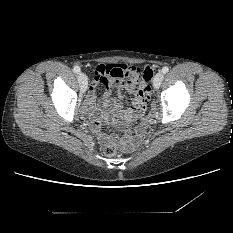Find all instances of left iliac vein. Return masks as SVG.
I'll list each match as a JSON object with an SVG mask.
<instances>
[{"label":"left iliac vein","instance_id":"1","mask_svg":"<svg viewBox=\"0 0 233 233\" xmlns=\"http://www.w3.org/2000/svg\"><path fill=\"white\" fill-rule=\"evenodd\" d=\"M164 79V74L163 72H158L155 77H154V80H153V85L156 89H158L162 83Z\"/></svg>","mask_w":233,"mask_h":233}]
</instances>
